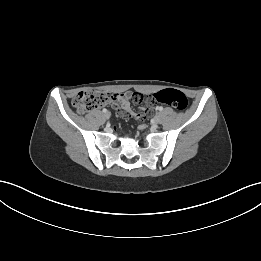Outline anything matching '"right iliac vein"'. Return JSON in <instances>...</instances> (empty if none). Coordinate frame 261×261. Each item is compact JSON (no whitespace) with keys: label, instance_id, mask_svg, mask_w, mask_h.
<instances>
[{"label":"right iliac vein","instance_id":"63e3f726","mask_svg":"<svg viewBox=\"0 0 261 261\" xmlns=\"http://www.w3.org/2000/svg\"><path fill=\"white\" fill-rule=\"evenodd\" d=\"M104 116H105L106 119H109V118H110V113H109V112H106V113L104 114Z\"/></svg>","mask_w":261,"mask_h":261}]
</instances>
